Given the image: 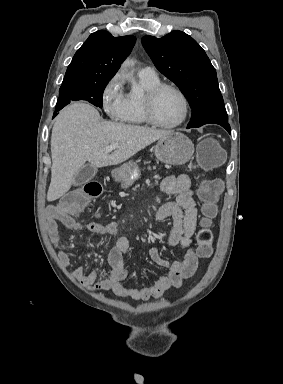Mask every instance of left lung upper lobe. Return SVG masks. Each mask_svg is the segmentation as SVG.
I'll return each instance as SVG.
<instances>
[{"label":"left lung upper lobe","mask_w":283,"mask_h":384,"mask_svg":"<svg viewBox=\"0 0 283 384\" xmlns=\"http://www.w3.org/2000/svg\"><path fill=\"white\" fill-rule=\"evenodd\" d=\"M142 44L156 68L187 98L192 108L187 128L207 123H228L216 70L193 38L175 30L162 38L144 36Z\"/></svg>","instance_id":"5c2ea615"}]
</instances>
